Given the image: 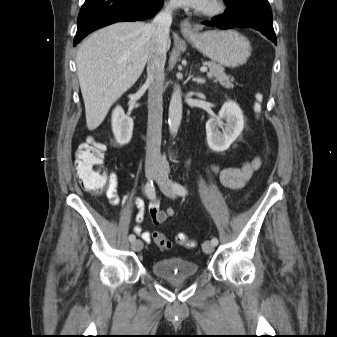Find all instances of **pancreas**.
Returning a JSON list of instances; mask_svg holds the SVG:
<instances>
[{
	"instance_id": "1",
	"label": "pancreas",
	"mask_w": 337,
	"mask_h": 337,
	"mask_svg": "<svg viewBox=\"0 0 337 337\" xmlns=\"http://www.w3.org/2000/svg\"><path fill=\"white\" fill-rule=\"evenodd\" d=\"M209 67L207 73L208 78L214 79L215 82H219L226 89H231L234 85L230 82V77L226 75L224 68L215 62H205Z\"/></svg>"
}]
</instances>
